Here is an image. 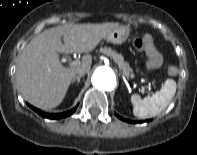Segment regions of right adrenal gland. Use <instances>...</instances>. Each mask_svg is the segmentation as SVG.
<instances>
[{"instance_id": "1", "label": "right adrenal gland", "mask_w": 197, "mask_h": 155, "mask_svg": "<svg viewBox=\"0 0 197 155\" xmlns=\"http://www.w3.org/2000/svg\"><path fill=\"white\" fill-rule=\"evenodd\" d=\"M81 77H83V76H77V77H75V78L72 80V84H73L75 81H77V84H79V83H80Z\"/></svg>"}]
</instances>
